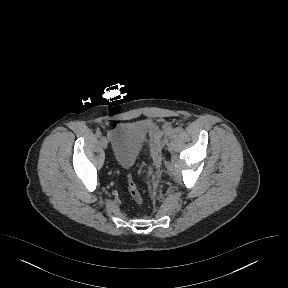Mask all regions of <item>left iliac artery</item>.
I'll use <instances>...</instances> for the list:
<instances>
[{"instance_id": "44dca946", "label": "left iliac artery", "mask_w": 288, "mask_h": 288, "mask_svg": "<svg viewBox=\"0 0 288 288\" xmlns=\"http://www.w3.org/2000/svg\"><path fill=\"white\" fill-rule=\"evenodd\" d=\"M183 128L182 127H177L174 129V133H180L182 132Z\"/></svg>"}]
</instances>
